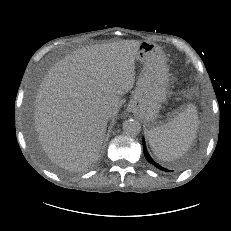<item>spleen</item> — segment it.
Returning <instances> with one entry per match:
<instances>
[{"mask_svg":"<svg viewBox=\"0 0 231 231\" xmlns=\"http://www.w3.org/2000/svg\"><path fill=\"white\" fill-rule=\"evenodd\" d=\"M197 129L196 107L190 104L170 122L149 130L147 138L156 157L162 161H171L181 157L190 148Z\"/></svg>","mask_w":231,"mask_h":231,"instance_id":"spleen-1","label":"spleen"}]
</instances>
